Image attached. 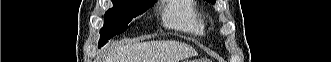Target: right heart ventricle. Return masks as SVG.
<instances>
[{
	"mask_svg": "<svg viewBox=\"0 0 331 62\" xmlns=\"http://www.w3.org/2000/svg\"><path fill=\"white\" fill-rule=\"evenodd\" d=\"M164 23L176 30L202 35L205 22L200 7L193 0H171L163 12Z\"/></svg>",
	"mask_w": 331,
	"mask_h": 62,
	"instance_id": "e07e8e85",
	"label": "right heart ventricle"
}]
</instances>
